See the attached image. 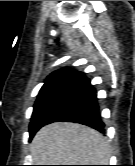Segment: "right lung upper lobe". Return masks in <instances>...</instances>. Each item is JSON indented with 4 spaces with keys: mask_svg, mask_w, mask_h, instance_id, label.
<instances>
[{
    "mask_svg": "<svg viewBox=\"0 0 135 166\" xmlns=\"http://www.w3.org/2000/svg\"><path fill=\"white\" fill-rule=\"evenodd\" d=\"M84 78H86V76L76 70L67 68L57 70L51 73L45 80V83L39 92L38 99L54 91L67 88L71 84L78 83Z\"/></svg>",
    "mask_w": 135,
    "mask_h": 166,
    "instance_id": "1",
    "label": "right lung upper lobe"
}]
</instances>
